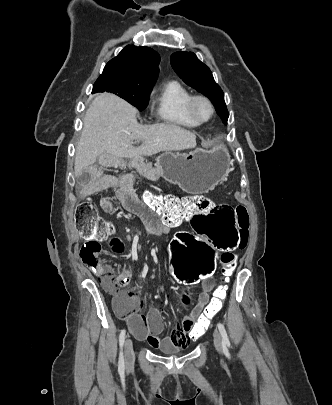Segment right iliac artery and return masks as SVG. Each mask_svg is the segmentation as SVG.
Wrapping results in <instances>:
<instances>
[{
  "instance_id": "82829eb1",
  "label": "right iliac artery",
  "mask_w": 332,
  "mask_h": 405,
  "mask_svg": "<svg viewBox=\"0 0 332 405\" xmlns=\"http://www.w3.org/2000/svg\"><path fill=\"white\" fill-rule=\"evenodd\" d=\"M125 330H122L119 336V344L121 347V352H120V356H119V363H118V367H119V371L123 372L124 371V356H123V352H122V347L124 344V340H125Z\"/></svg>"
}]
</instances>
